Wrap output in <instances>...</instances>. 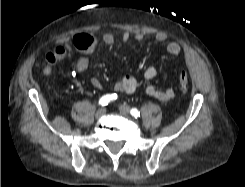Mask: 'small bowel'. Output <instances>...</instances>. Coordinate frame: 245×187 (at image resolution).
Wrapping results in <instances>:
<instances>
[{"instance_id": "obj_1", "label": "small bowel", "mask_w": 245, "mask_h": 187, "mask_svg": "<svg viewBox=\"0 0 245 187\" xmlns=\"http://www.w3.org/2000/svg\"><path fill=\"white\" fill-rule=\"evenodd\" d=\"M145 38H146L145 34L140 31H136L133 33L123 32L121 35V41L123 43L129 42L131 39L137 42H142L145 40ZM154 40L158 43H165L167 40V36L163 32H157L154 34ZM102 41L107 45H111L115 42V36L111 33H105L102 36ZM63 46H64L63 41H58L55 44L54 54L57 48H61ZM166 51L171 56H180V55L183 56V58L188 64L194 61V54L190 50L186 49L185 47H183L177 42H169L166 45ZM54 54H50V55H54ZM72 66L74 70L78 72H83L87 70L89 67V59L86 55L79 54L73 59ZM156 75H157L156 67L149 66L144 72V79L146 81H151L156 77ZM91 82L92 85L95 86L96 88L99 89L103 88V85L99 80L92 79ZM137 88H138V82L136 78L132 75H126L121 80L117 81L114 84V90L116 92H121V93L131 94L134 93L137 90ZM146 93L150 97L156 98L160 101H169L174 97V90L172 88L160 89L158 86L154 84H149L146 87Z\"/></svg>"}]
</instances>
